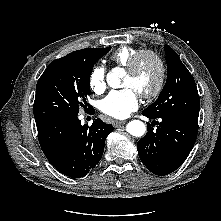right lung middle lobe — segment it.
<instances>
[{
	"instance_id": "obj_1",
	"label": "right lung middle lobe",
	"mask_w": 221,
	"mask_h": 221,
	"mask_svg": "<svg viewBox=\"0 0 221 221\" xmlns=\"http://www.w3.org/2000/svg\"><path fill=\"white\" fill-rule=\"evenodd\" d=\"M110 50L111 47L91 48L51 62L36 86V123L76 117L81 107L86 108L93 66Z\"/></svg>"
}]
</instances>
